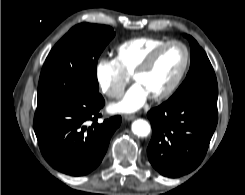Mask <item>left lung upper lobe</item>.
Masks as SVG:
<instances>
[{
  "mask_svg": "<svg viewBox=\"0 0 245 195\" xmlns=\"http://www.w3.org/2000/svg\"><path fill=\"white\" fill-rule=\"evenodd\" d=\"M184 36L191 46V65L186 79L168 101L217 105L218 85L213 67L196 40Z\"/></svg>",
  "mask_w": 245,
  "mask_h": 195,
  "instance_id": "1",
  "label": "left lung upper lobe"
}]
</instances>
